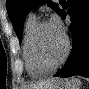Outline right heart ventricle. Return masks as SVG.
<instances>
[{
  "label": "right heart ventricle",
  "instance_id": "e07e8e85",
  "mask_svg": "<svg viewBox=\"0 0 89 89\" xmlns=\"http://www.w3.org/2000/svg\"><path fill=\"white\" fill-rule=\"evenodd\" d=\"M37 24L38 22L35 16L29 15L25 22L23 31V58L25 62V68L27 73L31 77L35 78L45 76L49 73L46 70L38 67L32 53V36Z\"/></svg>",
  "mask_w": 89,
  "mask_h": 89
}]
</instances>
